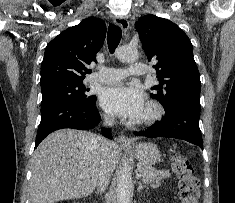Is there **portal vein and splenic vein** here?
I'll use <instances>...</instances> for the list:
<instances>
[{
    "label": "portal vein and splenic vein",
    "instance_id": "portal-vein-and-splenic-vein-1",
    "mask_svg": "<svg viewBox=\"0 0 235 203\" xmlns=\"http://www.w3.org/2000/svg\"><path fill=\"white\" fill-rule=\"evenodd\" d=\"M141 176H142V175H141L140 173H137V174H136V178H137V179L141 178Z\"/></svg>",
    "mask_w": 235,
    "mask_h": 203
}]
</instances>
